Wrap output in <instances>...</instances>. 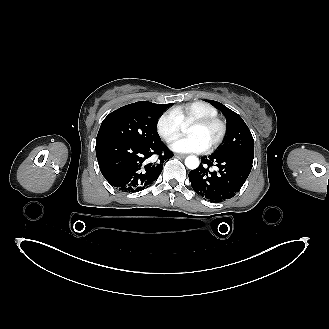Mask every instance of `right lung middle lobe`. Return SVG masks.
I'll return each instance as SVG.
<instances>
[{
	"label": "right lung middle lobe",
	"instance_id": "right-lung-middle-lobe-1",
	"mask_svg": "<svg viewBox=\"0 0 329 329\" xmlns=\"http://www.w3.org/2000/svg\"><path fill=\"white\" fill-rule=\"evenodd\" d=\"M171 105L140 101L123 106L103 120L97 140L113 138L145 144L158 142L161 140L157 132L158 119Z\"/></svg>",
	"mask_w": 329,
	"mask_h": 329
}]
</instances>
